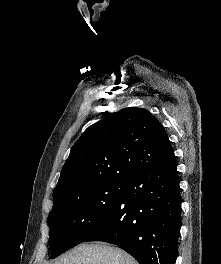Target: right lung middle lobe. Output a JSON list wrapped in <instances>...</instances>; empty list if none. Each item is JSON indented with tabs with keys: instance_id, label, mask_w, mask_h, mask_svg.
Instances as JSON below:
<instances>
[{
	"instance_id": "obj_1",
	"label": "right lung middle lobe",
	"mask_w": 221,
	"mask_h": 264,
	"mask_svg": "<svg viewBox=\"0 0 221 264\" xmlns=\"http://www.w3.org/2000/svg\"><path fill=\"white\" fill-rule=\"evenodd\" d=\"M125 182H109L75 193L48 216L51 259L81 243L111 212Z\"/></svg>"
}]
</instances>
